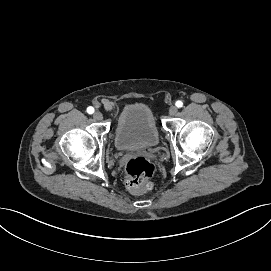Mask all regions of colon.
Instances as JSON below:
<instances>
[{
    "instance_id": "1",
    "label": "colon",
    "mask_w": 271,
    "mask_h": 271,
    "mask_svg": "<svg viewBox=\"0 0 271 271\" xmlns=\"http://www.w3.org/2000/svg\"><path fill=\"white\" fill-rule=\"evenodd\" d=\"M155 166L145 157L131 158L125 166L126 186L134 194L146 192L152 188L150 178Z\"/></svg>"
}]
</instances>
